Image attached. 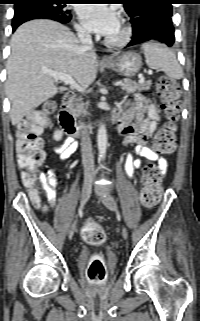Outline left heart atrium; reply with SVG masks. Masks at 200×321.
Here are the masks:
<instances>
[{
  "label": "left heart atrium",
  "mask_w": 200,
  "mask_h": 321,
  "mask_svg": "<svg viewBox=\"0 0 200 321\" xmlns=\"http://www.w3.org/2000/svg\"><path fill=\"white\" fill-rule=\"evenodd\" d=\"M77 12L89 31L102 36H109L120 26L117 11L106 4H82Z\"/></svg>",
  "instance_id": "left-heart-atrium-1"
}]
</instances>
